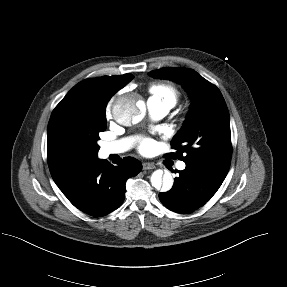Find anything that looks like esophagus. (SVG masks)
<instances>
[{
	"label": "esophagus",
	"instance_id": "esophagus-1",
	"mask_svg": "<svg viewBox=\"0 0 287 287\" xmlns=\"http://www.w3.org/2000/svg\"><path fill=\"white\" fill-rule=\"evenodd\" d=\"M155 169V165L153 163L145 162L143 163V170H151Z\"/></svg>",
	"mask_w": 287,
	"mask_h": 287
}]
</instances>
